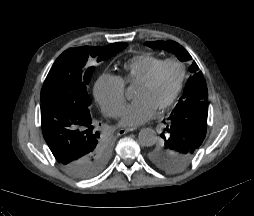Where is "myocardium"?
<instances>
[{"label":"myocardium","instance_id":"f54148a6","mask_svg":"<svg viewBox=\"0 0 254 216\" xmlns=\"http://www.w3.org/2000/svg\"><path fill=\"white\" fill-rule=\"evenodd\" d=\"M167 65H175L179 69V77L175 89L170 98L157 108L159 111H164L167 108H169L176 101L178 95L180 94L186 75L185 64L177 58L165 59L143 81H141L138 84V86L142 87L151 86L155 82L161 70Z\"/></svg>","mask_w":254,"mask_h":216}]
</instances>
